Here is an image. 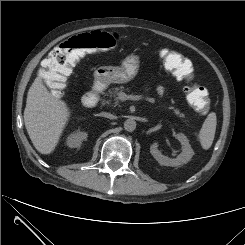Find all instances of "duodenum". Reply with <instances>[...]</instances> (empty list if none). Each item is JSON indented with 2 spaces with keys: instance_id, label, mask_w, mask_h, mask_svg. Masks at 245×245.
<instances>
[{
  "instance_id": "410a0bca",
  "label": "duodenum",
  "mask_w": 245,
  "mask_h": 245,
  "mask_svg": "<svg viewBox=\"0 0 245 245\" xmlns=\"http://www.w3.org/2000/svg\"><path fill=\"white\" fill-rule=\"evenodd\" d=\"M102 90H103L102 83L96 81L93 84L92 89L83 95L81 99V104L86 108L93 107L98 102Z\"/></svg>"
}]
</instances>
